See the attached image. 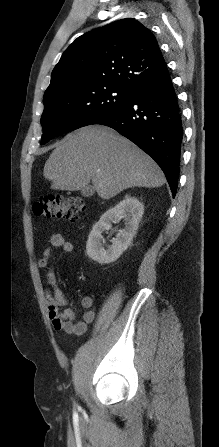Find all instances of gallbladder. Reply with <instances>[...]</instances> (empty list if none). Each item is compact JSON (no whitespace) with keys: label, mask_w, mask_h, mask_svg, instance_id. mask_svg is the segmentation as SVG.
<instances>
[{"label":"gallbladder","mask_w":219,"mask_h":447,"mask_svg":"<svg viewBox=\"0 0 219 447\" xmlns=\"http://www.w3.org/2000/svg\"><path fill=\"white\" fill-rule=\"evenodd\" d=\"M81 194L84 197H91L94 194V189L90 186H86L85 188L81 189Z\"/></svg>","instance_id":"1"}]
</instances>
